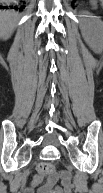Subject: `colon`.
I'll list each match as a JSON object with an SVG mask.
<instances>
[{
  "label": "colon",
  "instance_id": "obj_1",
  "mask_svg": "<svg viewBox=\"0 0 103 193\" xmlns=\"http://www.w3.org/2000/svg\"><path fill=\"white\" fill-rule=\"evenodd\" d=\"M37 172L40 176L47 178L48 184H53L56 180V178L52 176L54 173L53 165L48 162L39 164L37 167Z\"/></svg>",
  "mask_w": 103,
  "mask_h": 193
}]
</instances>
